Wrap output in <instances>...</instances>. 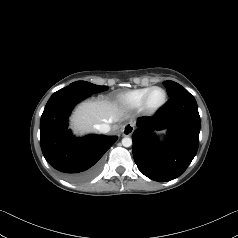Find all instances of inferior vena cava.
Segmentation results:
<instances>
[{"instance_id":"1","label":"inferior vena cava","mask_w":238,"mask_h":238,"mask_svg":"<svg viewBox=\"0 0 238 238\" xmlns=\"http://www.w3.org/2000/svg\"><path fill=\"white\" fill-rule=\"evenodd\" d=\"M95 129H97L100 133H108L111 128L108 123H101L95 125Z\"/></svg>"}]
</instances>
